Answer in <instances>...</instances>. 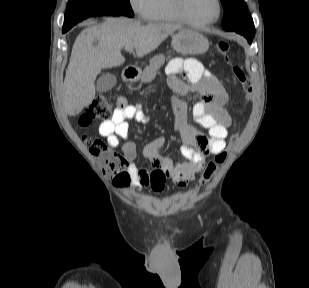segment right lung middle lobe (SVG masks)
I'll return each instance as SVG.
<instances>
[{"instance_id":"obj_1","label":"right lung middle lobe","mask_w":309,"mask_h":288,"mask_svg":"<svg viewBox=\"0 0 309 288\" xmlns=\"http://www.w3.org/2000/svg\"><path fill=\"white\" fill-rule=\"evenodd\" d=\"M97 13H119L133 17L129 0H69L63 29L69 30L79 21Z\"/></svg>"}]
</instances>
